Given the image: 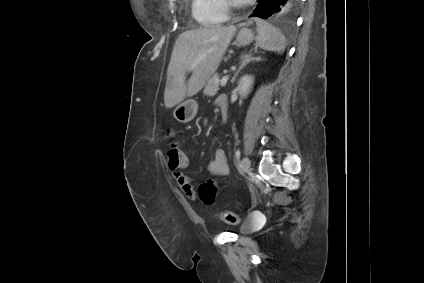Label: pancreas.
Instances as JSON below:
<instances>
[{
	"mask_svg": "<svg viewBox=\"0 0 424 283\" xmlns=\"http://www.w3.org/2000/svg\"><path fill=\"white\" fill-rule=\"evenodd\" d=\"M218 90H219V76L213 75V77L209 79V81L207 82L205 86L204 94L206 96L212 97L217 93Z\"/></svg>",
	"mask_w": 424,
	"mask_h": 283,
	"instance_id": "1",
	"label": "pancreas"
}]
</instances>
